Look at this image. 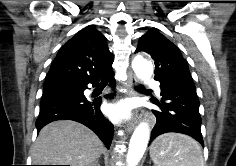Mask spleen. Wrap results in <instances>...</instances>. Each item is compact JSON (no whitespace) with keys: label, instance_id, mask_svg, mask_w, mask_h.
<instances>
[{"label":"spleen","instance_id":"spleen-1","mask_svg":"<svg viewBox=\"0 0 236 166\" xmlns=\"http://www.w3.org/2000/svg\"><path fill=\"white\" fill-rule=\"evenodd\" d=\"M150 157L156 166H204L200 146L183 134L159 136L151 145Z\"/></svg>","mask_w":236,"mask_h":166}]
</instances>
